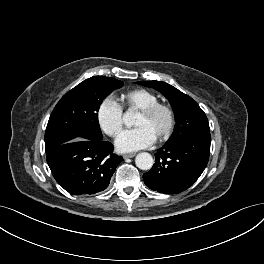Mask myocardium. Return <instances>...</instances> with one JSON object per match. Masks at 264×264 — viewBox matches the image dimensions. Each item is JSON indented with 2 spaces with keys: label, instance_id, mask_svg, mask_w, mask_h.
Instances as JSON below:
<instances>
[{
  "label": "myocardium",
  "instance_id": "myocardium-1",
  "mask_svg": "<svg viewBox=\"0 0 264 264\" xmlns=\"http://www.w3.org/2000/svg\"><path fill=\"white\" fill-rule=\"evenodd\" d=\"M159 112H164L167 117V124L165 130L162 132L161 135L157 137V140L162 142L167 140L171 136L175 127V113L173 108L169 104L157 102L140 110L139 114L146 118H150Z\"/></svg>",
  "mask_w": 264,
  "mask_h": 264
}]
</instances>
